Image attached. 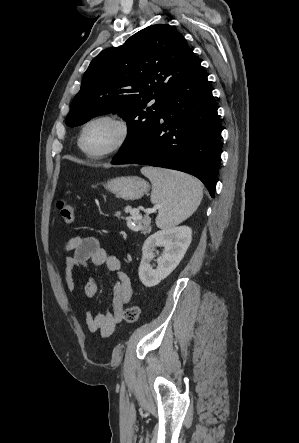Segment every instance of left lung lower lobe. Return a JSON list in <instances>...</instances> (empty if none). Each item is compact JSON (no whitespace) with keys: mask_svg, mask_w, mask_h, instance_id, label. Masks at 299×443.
I'll use <instances>...</instances> for the list:
<instances>
[{"mask_svg":"<svg viewBox=\"0 0 299 443\" xmlns=\"http://www.w3.org/2000/svg\"><path fill=\"white\" fill-rule=\"evenodd\" d=\"M220 123L200 63L167 96L155 123L111 164H144L200 179L214 197L220 159Z\"/></svg>","mask_w":299,"mask_h":443,"instance_id":"left-lung-lower-lobe-1","label":"left lung lower lobe"}]
</instances>
